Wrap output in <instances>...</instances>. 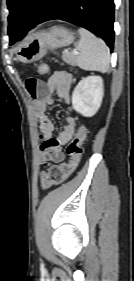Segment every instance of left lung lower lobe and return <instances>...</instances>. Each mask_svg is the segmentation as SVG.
Instances as JSON below:
<instances>
[{"instance_id": "0a47b994", "label": "left lung lower lobe", "mask_w": 134, "mask_h": 281, "mask_svg": "<svg viewBox=\"0 0 134 281\" xmlns=\"http://www.w3.org/2000/svg\"><path fill=\"white\" fill-rule=\"evenodd\" d=\"M53 19L65 20L98 34L113 50L114 0H48L32 28Z\"/></svg>"}]
</instances>
